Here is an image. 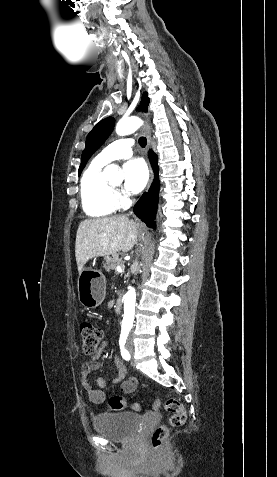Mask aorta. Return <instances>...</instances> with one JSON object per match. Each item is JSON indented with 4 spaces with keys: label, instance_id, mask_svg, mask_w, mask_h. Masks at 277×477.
Here are the masks:
<instances>
[{
    "label": "aorta",
    "instance_id": "obj_1",
    "mask_svg": "<svg viewBox=\"0 0 277 477\" xmlns=\"http://www.w3.org/2000/svg\"><path fill=\"white\" fill-rule=\"evenodd\" d=\"M143 124V121L138 117L122 118L116 125V133L120 136H125L135 132ZM104 173L110 179L121 182L123 174L117 165L110 164L104 169ZM135 300L136 293L133 288H130L125 295L124 300V315L122 321V328H131L135 315Z\"/></svg>",
    "mask_w": 277,
    "mask_h": 477
}]
</instances>
